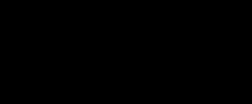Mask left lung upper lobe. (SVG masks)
<instances>
[{
	"mask_svg": "<svg viewBox=\"0 0 252 104\" xmlns=\"http://www.w3.org/2000/svg\"><path fill=\"white\" fill-rule=\"evenodd\" d=\"M214 74V65L209 54L199 48L194 54L192 67L186 69L178 78L202 77Z\"/></svg>",
	"mask_w": 252,
	"mask_h": 104,
	"instance_id": "obj_1",
	"label": "left lung upper lobe"
}]
</instances>
